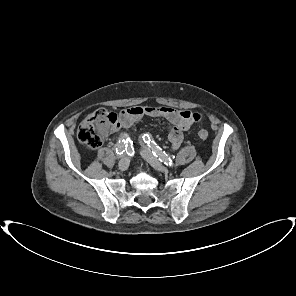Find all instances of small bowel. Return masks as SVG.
Here are the masks:
<instances>
[{
  "label": "small bowel",
  "mask_w": 296,
  "mask_h": 296,
  "mask_svg": "<svg viewBox=\"0 0 296 296\" xmlns=\"http://www.w3.org/2000/svg\"><path fill=\"white\" fill-rule=\"evenodd\" d=\"M190 111L170 107L135 106L121 111L119 124L128 130L135 122L144 117L164 118L171 123L168 129V139L172 149H177L183 142L184 132L195 122Z\"/></svg>",
  "instance_id": "c3829d8e"
}]
</instances>
